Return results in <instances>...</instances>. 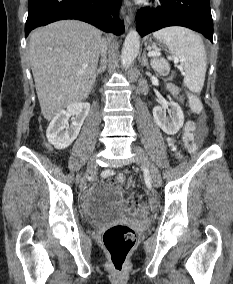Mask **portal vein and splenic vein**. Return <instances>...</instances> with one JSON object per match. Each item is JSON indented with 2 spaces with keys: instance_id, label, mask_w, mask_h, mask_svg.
<instances>
[{
  "instance_id": "portal-vein-and-splenic-vein-1",
  "label": "portal vein and splenic vein",
  "mask_w": 233,
  "mask_h": 284,
  "mask_svg": "<svg viewBox=\"0 0 233 284\" xmlns=\"http://www.w3.org/2000/svg\"><path fill=\"white\" fill-rule=\"evenodd\" d=\"M160 52L158 51H149L148 52V57H154V56H159Z\"/></svg>"
}]
</instances>
